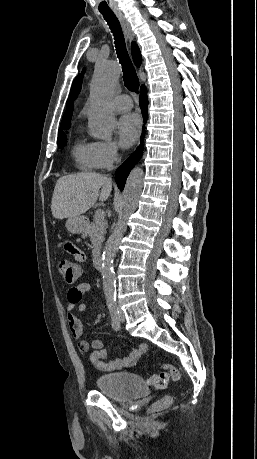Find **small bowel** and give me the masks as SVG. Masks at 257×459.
<instances>
[{"instance_id": "small-bowel-1", "label": "small bowel", "mask_w": 257, "mask_h": 459, "mask_svg": "<svg viewBox=\"0 0 257 459\" xmlns=\"http://www.w3.org/2000/svg\"><path fill=\"white\" fill-rule=\"evenodd\" d=\"M61 248H65V254L70 258L71 264H86L87 256L85 249L76 246V239H61ZM90 292L88 283H80L71 287L67 292V319L69 329L73 337L78 341V348L82 352L92 349L89 360L97 369L105 372L116 371L122 368L134 366L141 356L146 352L147 345L140 344L138 348L133 349L126 358L109 359L108 352L103 348V342L100 339L91 341L82 339L84 333L83 323L74 313V309L80 313L87 310V297Z\"/></svg>"}]
</instances>
